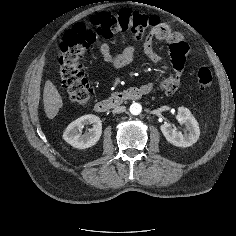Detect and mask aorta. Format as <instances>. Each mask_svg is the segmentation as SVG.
<instances>
[{
    "instance_id": "obj_1",
    "label": "aorta",
    "mask_w": 236,
    "mask_h": 236,
    "mask_svg": "<svg viewBox=\"0 0 236 236\" xmlns=\"http://www.w3.org/2000/svg\"><path fill=\"white\" fill-rule=\"evenodd\" d=\"M142 111V106L139 103H132L130 106V113L132 115H139Z\"/></svg>"
}]
</instances>
